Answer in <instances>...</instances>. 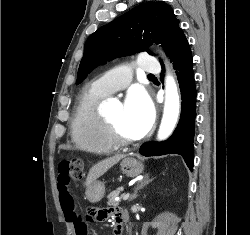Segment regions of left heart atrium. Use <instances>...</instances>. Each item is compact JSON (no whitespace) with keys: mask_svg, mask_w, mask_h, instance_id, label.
<instances>
[{"mask_svg":"<svg viewBox=\"0 0 250 235\" xmlns=\"http://www.w3.org/2000/svg\"><path fill=\"white\" fill-rule=\"evenodd\" d=\"M125 118L137 138L145 135L151 128L155 112L151 99L141 89L131 90L124 104Z\"/></svg>","mask_w":250,"mask_h":235,"instance_id":"obj_1","label":"left heart atrium"}]
</instances>
